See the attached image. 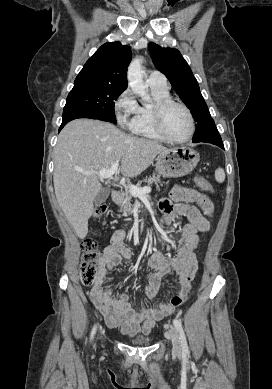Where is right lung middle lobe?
I'll return each mask as SVG.
<instances>
[{"label": "right lung middle lobe", "mask_w": 272, "mask_h": 389, "mask_svg": "<svg viewBox=\"0 0 272 389\" xmlns=\"http://www.w3.org/2000/svg\"><path fill=\"white\" fill-rule=\"evenodd\" d=\"M125 89L96 84H74L70 91L63 115L82 113L98 120L116 123L115 100Z\"/></svg>", "instance_id": "1"}]
</instances>
